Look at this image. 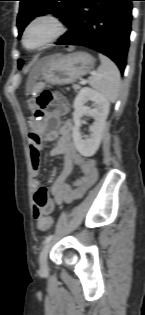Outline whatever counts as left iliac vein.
<instances>
[{
    "mask_svg": "<svg viewBox=\"0 0 145 315\" xmlns=\"http://www.w3.org/2000/svg\"><path fill=\"white\" fill-rule=\"evenodd\" d=\"M50 247H51V243H47L39 255V265H40L41 271L43 272H46L48 270L47 257H48Z\"/></svg>",
    "mask_w": 145,
    "mask_h": 315,
    "instance_id": "1",
    "label": "left iliac vein"
}]
</instances>
